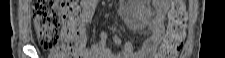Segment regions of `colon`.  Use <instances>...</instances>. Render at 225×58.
<instances>
[{
  "instance_id": "colon-1",
  "label": "colon",
  "mask_w": 225,
  "mask_h": 58,
  "mask_svg": "<svg viewBox=\"0 0 225 58\" xmlns=\"http://www.w3.org/2000/svg\"><path fill=\"white\" fill-rule=\"evenodd\" d=\"M34 27L41 47L52 58H77L79 9L71 0H34ZM187 13L181 1L168 12L167 29L159 49L162 58H175L186 35Z\"/></svg>"
}]
</instances>
